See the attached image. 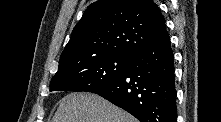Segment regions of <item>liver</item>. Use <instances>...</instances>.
<instances>
[{
    "label": "liver",
    "mask_w": 221,
    "mask_h": 122,
    "mask_svg": "<svg viewBox=\"0 0 221 122\" xmlns=\"http://www.w3.org/2000/svg\"><path fill=\"white\" fill-rule=\"evenodd\" d=\"M52 122H136V119L101 96L79 92L61 99Z\"/></svg>",
    "instance_id": "6515ba94"
}]
</instances>
